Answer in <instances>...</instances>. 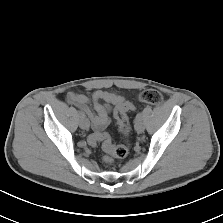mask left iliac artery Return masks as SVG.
Instances as JSON below:
<instances>
[{
    "instance_id": "44dca946",
    "label": "left iliac artery",
    "mask_w": 223,
    "mask_h": 223,
    "mask_svg": "<svg viewBox=\"0 0 223 223\" xmlns=\"http://www.w3.org/2000/svg\"><path fill=\"white\" fill-rule=\"evenodd\" d=\"M142 119V113L139 112L137 115H136V120H140Z\"/></svg>"
}]
</instances>
